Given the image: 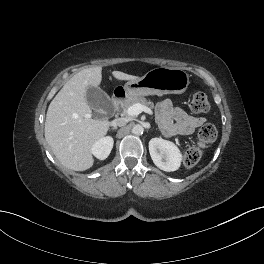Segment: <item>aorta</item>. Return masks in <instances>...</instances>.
Listing matches in <instances>:
<instances>
[{"label":"aorta","instance_id":"1","mask_svg":"<svg viewBox=\"0 0 264 264\" xmlns=\"http://www.w3.org/2000/svg\"><path fill=\"white\" fill-rule=\"evenodd\" d=\"M143 131H144L143 127L139 124L133 126V128H132V133L134 135H141V134H143Z\"/></svg>","mask_w":264,"mask_h":264}]
</instances>
